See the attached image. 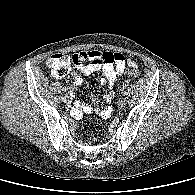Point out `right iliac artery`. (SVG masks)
Here are the masks:
<instances>
[{"label":"right iliac artery","instance_id":"1","mask_svg":"<svg viewBox=\"0 0 195 195\" xmlns=\"http://www.w3.org/2000/svg\"><path fill=\"white\" fill-rule=\"evenodd\" d=\"M63 91H65V92H66V91H67V88H66V87H65V88H63ZM70 93H71V92H70Z\"/></svg>","mask_w":195,"mask_h":195}]
</instances>
